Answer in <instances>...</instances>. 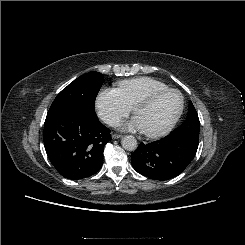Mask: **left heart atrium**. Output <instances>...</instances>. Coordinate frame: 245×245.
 <instances>
[{
    "label": "left heart atrium",
    "mask_w": 245,
    "mask_h": 245,
    "mask_svg": "<svg viewBox=\"0 0 245 245\" xmlns=\"http://www.w3.org/2000/svg\"><path fill=\"white\" fill-rule=\"evenodd\" d=\"M123 127L128 130L143 131L136 118H133L131 121L125 123Z\"/></svg>",
    "instance_id": "1"
}]
</instances>
